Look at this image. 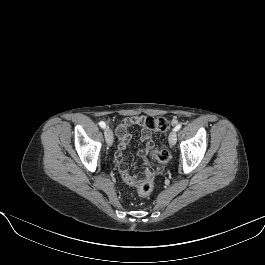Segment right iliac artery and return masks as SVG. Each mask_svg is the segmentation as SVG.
<instances>
[{"label": "right iliac artery", "mask_w": 265, "mask_h": 265, "mask_svg": "<svg viewBox=\"0 0 265 265\" xmlns=\"http://www.w3.org/2000/svg\"><path fill=\"white\" fill-rule=\"evenodd\" d=\"M99 125H100L101 128H105V127H106V124H105V122H103V121H101V122L99 123Z\"/></svg>", "instance_id": "1"}]
</instances>
